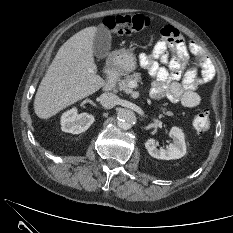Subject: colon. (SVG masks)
I'll use <instances>...</instances> for the list:
<instances>
[{"label": "colon", "mask_w": 233, "mask_h": 233, "mask_svg": "<svg viewBox=\"0 0 233 233\" xmlns=\"http://www.w3.org/2000/svg\"><path fill=\"white\" fill-rule=\"evenodd\" d=\"M150 24L144 15H116L104 19L108 30L117 35L131 34L146 29ZM193 127L198 133L206 132L210 127L209 114L206 111L198 113L193 120Z\"/></svg>", "instance_id": "obj_1"}]
</instances>
